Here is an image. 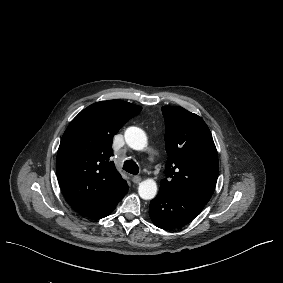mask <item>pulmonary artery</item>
Masks as SVG:
<instances>
[{"mask_svg": "<svg viewBox=\"0 0 283 283\" xmlns=\"http://www.w3.org/2000/svg\"><path fill=\"white\" fill-rule=\"evenodd\" d=\"M147 161H148L150 164H155V163L158 161V156H157L155 153H150V154L147 156Z\"/></svg>", "mask_w": 283, "mask_h": 283, "instance_id": "e3ab8cb5", "label": "pulmonary artery"}]
</instances>
